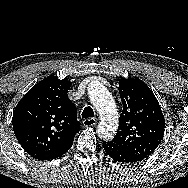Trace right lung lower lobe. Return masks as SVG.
<instances>
[{
    "label": "right lung lower lobe",
    "instance_id": "obj_1",
    "mask_svg": "<svg viewBox=\"0 0 188 188\" xmlns=\"http://www.w3.org/2000/svg\"><path fill=\"white\" fill-rule=\"evenodd\" d=\"M68 149H69V148H68ZM68 149H65V150L56 152V153H54V154L45 156V157H43L41 160H50V159L58 158V157L62 156L63 154H65V153L68 151Z\"/></svg>",
    "mask_w": 188,
    "mask_h": 188
}]
</instances>
